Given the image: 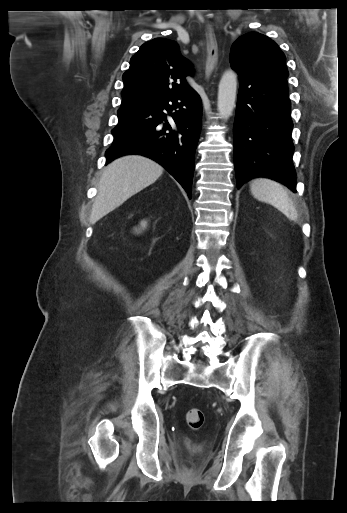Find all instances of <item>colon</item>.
<instances>
[{"label":"colon","mask_w":347,"mask_h":513,"mask_svg":"<svg viewBox=\"0 0 347 513\" xmlns=\"http://www.w3.org/2000/svg\"><path fill=\"white\" fill-rule=\"evenodd\" d=\"M204 414L200 409L192 408L186 413V421L192 429H200L204 425ZM187 469L192 470L193 466L187 464Z\"/></svg>","instance_id":"5ec220e1"}]
</instances>
